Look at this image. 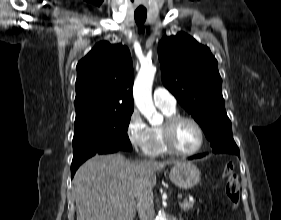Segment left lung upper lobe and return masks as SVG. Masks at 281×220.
<instances>
[{"label":"left lung upper lobe","instance_id":"left-lung-upper-lobe-1","mask_svg":"<svg viewBox=\"0 0 281 220\" xmlns=\"http://www.w3.org/2000/svg\"><path fill=\"white\" fill-rule=\"evenodd\" d=\"M158 56L164 86L200 124L212 151L237 150L225 111L218 62L210 49L181 32L161 39Z\"/></svg>","mask_w":281,"mask_h":220}]
</instances>
